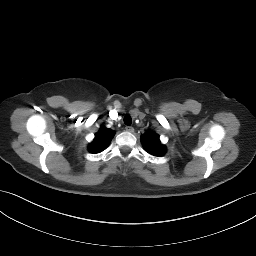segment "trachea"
<instances>
[{
    "label": "trachea",
    "mask_w": 256,
    "mask_h": 256,
    "mask_svg": "<svg viewBox=\"0 0 256 256\" xmlns=\"http://www.w3.org/2000/svg\"><path fill=\"white\" fill-rule=\"evenodd\" d=\"M124 123L128 126H130L132 124V118L129 115H126L124 117Z\"/></svg>",
    "instance_id": "3493384b"
}]
</instances>
